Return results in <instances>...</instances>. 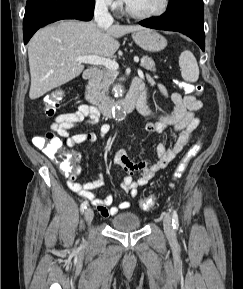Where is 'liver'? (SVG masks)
Listing matches in <instances>:
<instances>
[{
    "mask_svg": "<svg viewBox=\"0 0 243 289\" xmlns=\"http://www.w3.org/2000/svg\"><path fill=\"white\" fill-rule=\"evenodd\" d=\"M141 29L119 24L100 29L93 21L63 20L38 30L28 43L30 99L78 77L84 65L76 57H111L120 46L117 38Z\"/></svg>",
    "mask_w": 243,
    "mask_h": 289,
    "instance_id": "1",
    "label": "liver"
}]
</instances>
